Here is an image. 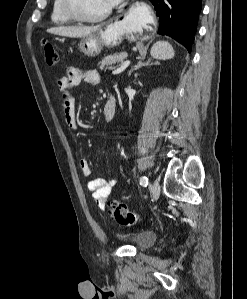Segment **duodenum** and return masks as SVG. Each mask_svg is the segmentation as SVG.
Segmentation results:
<instances>
[{"label":"duodenum","mask_w":247,"mask_h":299,"mask_svg":"<svg viewBox=\"0 0 247 299\" xmlns=\"http://www.w3.org/2000/svg\"><path fill=\"white\" fill-rule=\"evenodd\" d=\"M116 111V104L113 101H108L104 107L103 115L106 121L113 119Z\"/></svg>","instance_id":"410a0bca"}]
</instances>
